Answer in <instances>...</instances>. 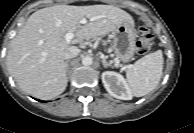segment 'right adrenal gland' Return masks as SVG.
Here are the masks:
<instances>
[{
	"label": "right adrenal gland",
	"instance_id": "2a0ac1e0",
	"mask_svg": "<svg viewBox=\"0 0 194 133\" xmlns=\"http://www.w3.org/2000/svg\"><path fill=\"white\" fill-rule=\"evenodd\" d=\"M66 64V71H67V75L69 76L70 74V70H69V60L65 62ZM68 78V77H67Z\"/></svg>",
	"mask_w": 194,
	"mask_h": 133
}]
</instances>
